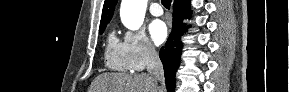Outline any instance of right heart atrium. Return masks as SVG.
Masks as SVG:
<instances>
[{
	"label": "right heart atrium",
	"instance_id": "1",
	"mask_svg": "<svg viewBox=\"0 0 289 92\" xmlns=\"http://www.w3.org/2000/svg\"><path fill=\"white\" fill-rule=\"evenodd\" d=\"M126 63L132 71H141L153 63L157 50L143 31L126 32L123 40Z\"/></svg>",
	"mask_w": 289,
	"mask_h": 92
}]
</instances>
